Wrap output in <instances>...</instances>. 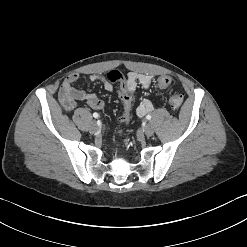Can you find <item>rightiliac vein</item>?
<instances>
[{
    "instance_id": "1",
    "label": "right iliac vein",
    "mask_w": 247,
    "mask_h": 247,
    "mask_svg": "<svg viewBox=\"0 0 247 247\" xmlns=\"http://www.w3.org/2000/svg\"><path fill=\"white\" fill-rule=\"evenodd\" d=\"M98 130H99V127H98L97 123L95 121H93L91 126H90V132L91 133H97Z\"/></svg>"
}]
</instances>
